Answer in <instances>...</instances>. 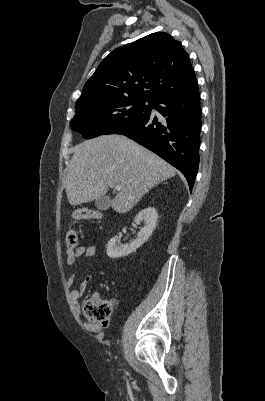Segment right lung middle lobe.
Instances as JSON below:
<instances>
[{"label": "right lung middle lobe", "mask_w": 265, "mask_h": 401, "mask_svg": "<svg viewBox=\"0 0 265 401\" xmlns=\"http://www.w3.org/2000/svg\"><path fill=\"white\" fill-rule=\"evenodd\" d=\"M155 101L138 97H103L76 106L73 130L86 139L113 134L151 114Z\"/></svg>", "instance_id": "obj_1"}]
</instances>
